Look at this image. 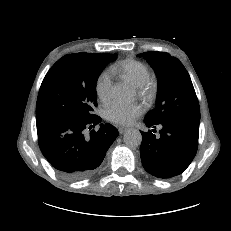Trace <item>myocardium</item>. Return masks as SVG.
Wrapping results in <instances>:
<instances>
[{
	"mask_svg": "<svg viewBox=\"0 0 231 231\" xmlns=\"http://www.w3.org/2000/svg\"><path fill=\"white\" fill-rule=\"evenodd\" d=\"M158 79L154 73H148L143 80L136 86L138 94L147 102H151L157 92Z\"/></svg>",
	"mask_w": 231,
	"mask_h": 231,
	"instance_id": "myocardium-1",
	"label": "myocardium"
}]
</instances>
